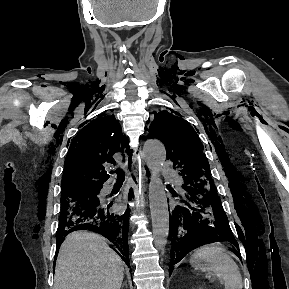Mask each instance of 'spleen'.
<instances>
[{
	"label": "spleen",
	"mask_w": 289,
	"mask_h": 289,
	"mask_svg": "<svg viewBox=\"0 0 289 289\" xmlns=\"http://www.w3.org/2000/svg\"><path fill=\"white\" fill-rule=\"evenodd\" d=\"M190 263L197 270L215 274L225 289H242L243 287L242 276L236 262L219 243L197 248L191 256Z\"/></svg>",
	"instance_id": "3e777b00"
}]
</instances>
